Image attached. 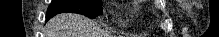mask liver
I'll use <instances>...</instances> for the list:
<instances>
[{"label":"liver","instance_id":"liver-1","mask_svg":"<svg viewBox=\"0 0 219 37\" xmlns=\"http://www.w3.org/2000/svg\"><path fill=\"white\" fill-rule=\"evenodd\" d=\"M49 37H97L93 21L77 14H61L47 25Z\"/></svg>","mask_w":219,"mask_h":37}]
</instances>
